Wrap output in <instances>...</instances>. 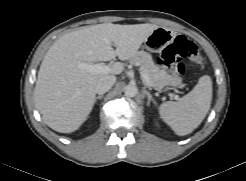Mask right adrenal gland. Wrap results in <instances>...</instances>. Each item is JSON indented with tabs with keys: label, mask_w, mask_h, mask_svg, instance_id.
Segmentation results:
<instances>
[{
	"label": "right adrenal gland",
	"mask_w": 246,
	"mask_h": 181,
	"mask_svg": "<svg viewBox=\"0 0 246 181\" xmlns=\"http://www.w3.org/2000/svg\"><path fill=\"white\" fill-rule=\"evenodd\" d=\"M102 98H103V95H99V96L95 97L94 103H96L98 99H102Z\"/></svg>",
	"instance_id": "obj_1"
}]
</instances>
